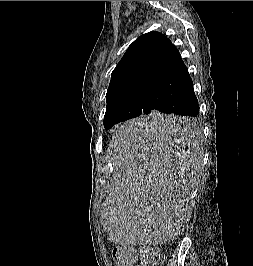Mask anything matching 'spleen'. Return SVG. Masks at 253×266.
Listing matches in <instances>:
<instances>
[{"label":"spleen","mask_w":253,"mask_h":266,"mask_svg":"<svg viewBox=\"0 0 253 266\" xmlns=\"http://www.w3.org/2000/svg\"><path fill=\"white\" fill-rule=\"evenodd\" d=\"M196 130L177 111H148L112 135L114 189L102 210L104 242L115 248H166L183 235L190 199L198 182Z\"/></svg>","instance_id":"obj_1"}]
</instances>
